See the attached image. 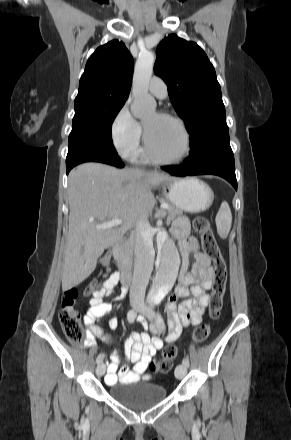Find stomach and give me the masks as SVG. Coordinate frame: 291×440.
Listing matches in <instances>:
<instances>
[{
	"label": "stomach",
	"mask_w": 291,
	"mask_h": 440,
	"mask_svg": "<svg viewBox=\"0 0 291 440\" xmlns=\"http://www.w3.org/2000/svg\"><path fill=\"white\" fill-rule=\"evenodd\" d=\"M163 193L170 204L189 213L207 210L214 200L210 186L194 177L165 182Z\"/></svg>",
	"instance_id": "1"
}]
</instances>
